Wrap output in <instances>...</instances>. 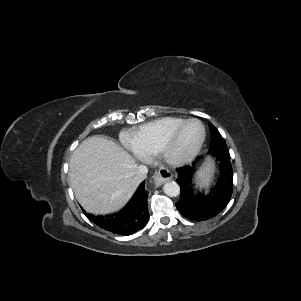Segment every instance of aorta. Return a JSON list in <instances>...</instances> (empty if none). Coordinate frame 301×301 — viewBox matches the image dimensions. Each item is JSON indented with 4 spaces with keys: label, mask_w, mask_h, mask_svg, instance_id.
I'll return each mask as SVG.
<instances>
[{
    "label": "aorta",
    "mask_w": 301,
    "mask_h": 301,
    "mask_svg": "<svg viewBox=\"0 0 301 301\" xmlns=\"http://www.w3.org/2000/svg\"><path fill=\"white\" fill-rule=\"evenodd\" d=\"M163 191L170 197H176L180 194V187L176 182L169 181L164 184Z\"/></svg>",
    "instance_id": "obj_1"
}]
</instances>
